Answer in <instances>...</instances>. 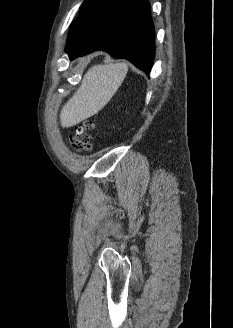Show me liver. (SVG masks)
<instances>
[{
	"instance_id": "obj_1",
	"label": "liver",
	"mask_w": 233,
	"mask_h": 328,
	"mask_svg": "<svg viewBox=\"0 0 233 328\" xmlns=\"http://www.w3.org/2000/svg\"><path fill=\"white\" fill-rule=\"evenodd\" d=\"M128 72L126 63L94 65L84 75L81 86L60 112L63 128L74 126L97 114L113 97Z\"/></svg>"
}]
</instances>
